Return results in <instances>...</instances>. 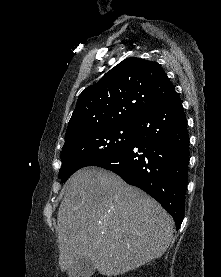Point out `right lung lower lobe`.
Listing matches in <instances>:
<instances>
[{
  "label": "right lung lower lobe",
  "mask_w": 221,
  "mask_h": 277,
  "mask_svg": "<svg viewBox=\"0 0 221 277\" xmlns=\"http://www.w3.org/2000/svg\"><path fill=\"white\" fill-rule=\"evenodd\" d=\"M129 147L95 166L115 172L156 199L173 217H184L189 135L180 98L174 92L135 120Z\"/></svg>",
  "instance_id": "98d812e1"
}]
</instances>
